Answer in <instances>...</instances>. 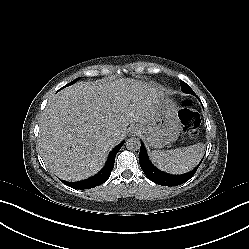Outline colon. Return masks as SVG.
<instances>
[{"label": "colon", "instance_id": "obj_1", "mask_svg": "<svg viewBox=\"0 0 249 249\" xmlns=\"http://www.w3.org/2000/svg\"><path fill=\"white\" fill-rule=\"evenodd\" d=\"M180 116L184 126V137L191 140L195 139L198 135L200 117L194 110L190 99L183 101Z\"/></svg>", "mask_w": 249, "mask_h": 249}]
</instances>
